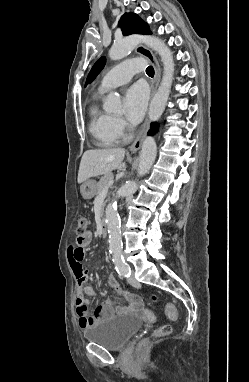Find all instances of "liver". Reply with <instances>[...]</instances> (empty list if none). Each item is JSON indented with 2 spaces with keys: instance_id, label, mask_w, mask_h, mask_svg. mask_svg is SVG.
Segmentation results:
<instances>
[{
  "instance_id": "obj_1",
  "label": "liver",
  "mask_w": 249,
  "mask_h": 382,
  "mask_svg": "<svg viewBox=\"0 0 249 382\" xmlns=\"http://www.w3.org/2000/svg\"><path fill=\"white\" fill-rule=\"evenodd\" d=\"M124 156L125 149L123 148L85 151L80 162L78 183H83L90 177H96L116 169L125 168L126 165L123 162Z\"/></svg>"
}]
</instances>
